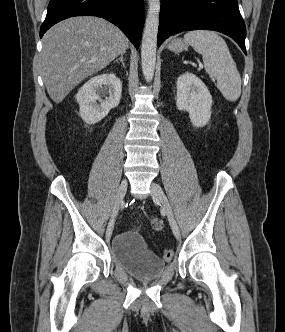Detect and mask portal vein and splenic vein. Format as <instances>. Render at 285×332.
<instances>
[{"mask_svg": "<svg viewBox=\"0 0 285 332\" xmlns=\"http://www.w3.org/2000/svg\"><path fill=\"white\" fill-rule=\"evenodd\" d=\"M199 67H202V64H199Z\"/></svg>", "mask_w": 285, "mask_h": 332, "instance_id": "portal-vein-and-splenic-vein-1", "label": "portal vein and splenic vein"}]
</instances>
